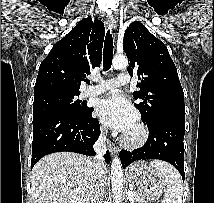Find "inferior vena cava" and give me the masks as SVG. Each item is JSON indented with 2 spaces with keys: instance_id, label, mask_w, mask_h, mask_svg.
Returning a JSON list of instances; mask_svg holds the SVG:
<instances>
[{
  "instance_id": "602c4592",
  "label": "inferior vena cava",
  "mask_w": 214,
  "mask_h": 203,
  "mask_svg": "<svg viewBox=\"0 0 214 203\" xmlns=\"http://www.w3.org/2000/svg\"><path fill=\"white\" fill-rule=\"evenodd\" d=\"M107 130H104L103 135L94 144V150L97 153L94 157L87 159V166L89 168V182H90V201L97 203L103 193L106 183L107 169L103 155L107 148L105 144V137Z\"/></svg>"
}]
</instances>
